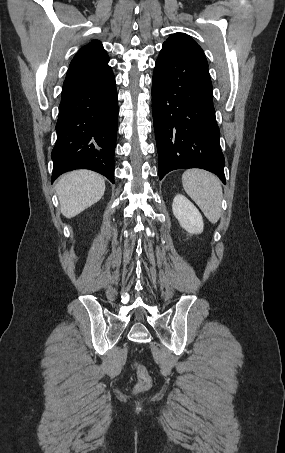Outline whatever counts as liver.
Here are the masks:
<instances>
[{
	"label": "liver",
	"mask_w": 285,
	"mask_h": 453,
	"mask_svg": "<svg viewBox=\"0 0 285 453\" xmlns=\"http://www.w3.org/2000/svg\"><path fill=\"white\" fill-rule=\"evenodd\" d=\"M61 213L72 218L98 202L105 192L104 178L96 172L77 170L64 174L56 185Z\"/></svg>",
	"instance_id": "liver-1"
}]
</instances>
